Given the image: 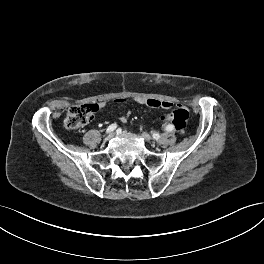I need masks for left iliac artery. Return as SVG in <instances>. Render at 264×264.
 Instances as JSON below:
<instances>
[{
    "mask_svg": "<svg viewBox=\"0 0 264 264\" xmlns=\"http://www.w3.org/2000/svg\"><path fill=\"white\" fill-rule=\"evenodd\" d=\"M173 130V125H168L166 127V131H172Z\"/></svg>",
    "mask_w": 264,
    "mask_h": 264,
    "instance_id": "obj_1",
    "label": "left iliac artery"
}]
</instances>
